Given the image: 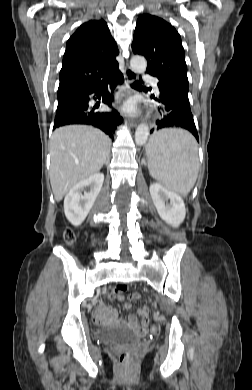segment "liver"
<instances>
[{
  "instance_id": "obj_1",
  "label": "liver",
  "mask_w": 252,
  "mask_h": 390,
  "mask_svg": "<svg viewBox=\"0 0 252 390\" xmlns=\"http://www.w3.org/2000/svg\"><path fill=\"white\" fill-rule=\"evenodd\" d=\"M111 140L101 130L70 125L54 131L50 142V182L60 201L77 183L98 173L109 158Z\"/></svg>"
}]
</instances>
